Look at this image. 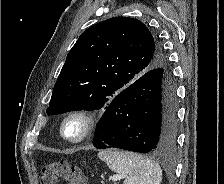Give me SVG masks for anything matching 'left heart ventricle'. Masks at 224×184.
Returning <instances> with one entry per match:
<instances>
[{"label": "left heart ventricle", "mask_w": 224, "mask_h": 184, "mask_svg": "<svg viewBox=\"0 0 224 184\" xmlns=\"http://www.w3.org/2000/svg\"><path fill=\"white\" fill-rule=\"evenodd\" d=\"M81 132V124L77 120H71L65 126V134L68 137H77Z\"/></svg>", "instance_id": "b2bd125f"}]
</instances>
